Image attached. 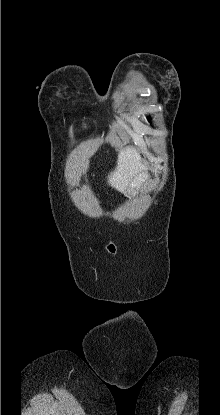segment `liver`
Segmentation results:
<instances>
[{
    "label": "liver",
    "mask_w": 220,
    "mask_h": 415,
    "mask_svg": "<svg viewBox=\"0 0 220 415\" xmlns=\"http://www.w3.org/2000/svg\"><path fill=\"white\" fill-rule=\"evenodd\" d=\"M143 168L141 157L136 149L127 147L118 154L117 166L108 175V183L120 192L134 181Z\"/></svg>",
    "instance_id": "liver-1"
}]
</instances>
